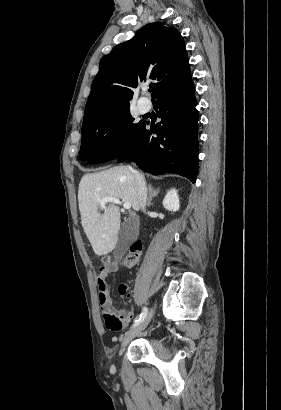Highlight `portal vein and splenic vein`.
<instances>
[{
  "mask_svg": "<svg viewBox=\"0 0 281 410\" xmlns=\"http://www.w3.org/2000/svg\"><path fill=\"white\" fill-rule=\"evenodd\" d=\"M107 202H112L114 204H122V202L118 198H115V197H105V198L99 200V204L102 207ZM122 205H123V208L126 209V210H129L131 208V203L130 202H124Z\"/></svg>",
  "mask_w": 281,
  "mask_h": 410,
  "instance_id": "18ae733b",
  "label": "portal vein and splenic vein"
}]
</instances>
